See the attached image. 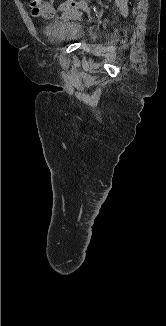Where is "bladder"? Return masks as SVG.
<instances>
[{"label":"bladder","instance_id":"obj_1","mask_svg":"<svg viewBox=\"0 0 166 326\" xmlns=\"http://www.w3.org/2000/svg\"><path fill=\"white\" fill-rule=\"evenodd\" d=\"M47 29L52 37L63 42L82 41L85 36L84 29L71 20L55 19Z\"/></svg>","mask_w":166,"mask_h":326}]
</instances>
